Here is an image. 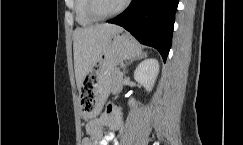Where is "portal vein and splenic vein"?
Masks as SVG:
<instances>
[{"label": "portal vein and splenic vein", "mask_w": 243, "mask_h": 145, "mask_svg": "<svg viewBox=\"0 0 243 145\" xmlns=\"http://www.w3.org/2000/svg\"><path fill=\"white\" fill-rule=\"evenodd\" d=\"M119 75H120L121 77H123V73H119Z\"/></svg>", "instance_id": "obj_1"}]
</instances>
